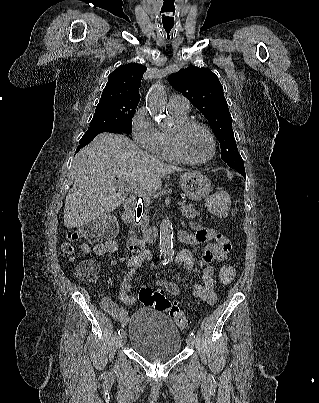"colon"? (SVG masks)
Instances as JSON below:
<instances>
[{"label":"colon","instance_id":"obj_1","mask_svg":"<svg viewBox=\"0 0 319 403\" xmlns=\"http://www.w3.org/2000/svg\"><path fill=\"white\" fill-rule=\"evenodd\" d=\"M206 205L213 215L221 217L228 208L229 197L225 192H216L207 198ZM117 229L116 218L112 215H106L87 226L82 233H69L67 235L64 250L74 260L78 261L76 272L79 278L87 282H93L97 279L99 273L98 263L94 259L83 255L80 243L82 241L88 242L97 254L116 252L118 242L116 239L110 238L115 236ZM235 275L234 267L226 265L220 270L219 279L223 284H228L234 280ZM139 300L145 307L168 314L179 329L183 331L188 329L189 321L184 312L176 304L172 303L161 290L143 288L139 291Z\"/></svg>","mask_w":319,"mask_h":403}]
</instances>
